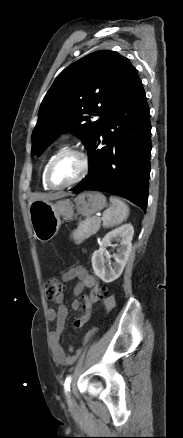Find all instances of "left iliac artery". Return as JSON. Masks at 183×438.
Instances as JSON below:
<instances>
[{"mask_svg":"<svg viewBox=\"0 0 183 438\" xmlns=\"http://www.w3.org/2000/svg\"><path fill=\"white\" fill-rule=\"evenodd\" d=\"M70 383H71V376L67 377L64 382V390L66 394H68V392L70 391Z\"/></svg>","mask_w":183,"mask_h":438,"instance_id":"44dca946","label":"left iliac artery"}]
</instances>
